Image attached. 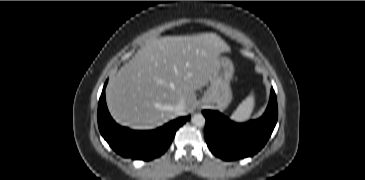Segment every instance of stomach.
Listing matches in <instances>:
<instances>
[{"instance_id":"stomach-1","label":"stomach","mask_w":365,"mask_h":180,"mask_svg":"<svg viewBox=\"0 0 365 180\" xmlns=\"http://www.w3.org/2000/svg\"><path fill=\"white\" fill-rule=\"evenodd\" d=\"M233 74L234 65L232 61L226 57H219L202 102L216 104L219 109L227 108L232 100L230 81Z\"/></svg>"}]
</instances>
